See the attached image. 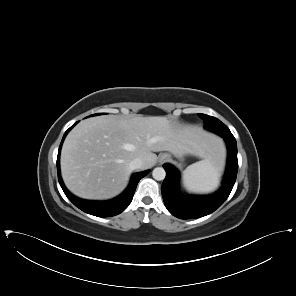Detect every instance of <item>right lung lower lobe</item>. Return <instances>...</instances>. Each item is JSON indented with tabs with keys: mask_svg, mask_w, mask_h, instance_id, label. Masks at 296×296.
Returning a JSON list of instances; mask_svg holds the SVG:
<instances>
[{
	"mask_svg": "<svg viewBox=\"0 0 296 296\" xmlns=\"http://www.w3.org/2000/svg\"><path fill=\"white\" fill-rule=\"evenodd\" d=\"M77 123V122H76ZM75 123V124H76ZM74 124V125H75ZM73 125V126H74ZM72 126V127H73ZM70 127L64 134L62 142L68 133V131L72 128ZM62 142L59 147L58 151V157H57V171H58V180L60 183L61 188L63 189L65 195L68 197V199L79 209L82 211L97 216V217H110L115 216L122 211H124L128 205L131 203L134 192L136 190V186L141 178L146 176L149 173V170L136 173L132 176L130 184L126 188V190L119 195L118 197L108 200V201H88L80 199L74 195H72L65 187L61 176H60V166H59V156H60V149L62 146Z\"/></svg>",
	"mask_w": 296,
	"mask_h": 296,
	"instance_id": "98d812e1",
	"label": "right lung lower lobe"
}]
</instances>
